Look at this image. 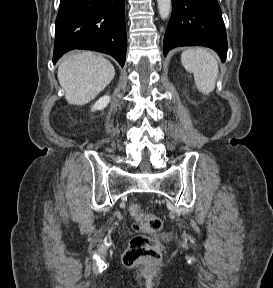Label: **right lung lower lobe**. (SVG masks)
<instances>
[{
	"mask_svg": "<svg viewBox=\"0 0 273 288\" xmlns=\"http://www.w3.org/2000/svg\"><path fill=\"white\" fill-rule=\"evenodd\" d=\"M124 0H61L55 23L53 63L72 49H88L126 59Z\"/></svg>",
	"mask_w": 273,
	"mask_h": 288,
	"instance_id": "1",
	"label": "right lung lower lobe"
}]
</instances>
